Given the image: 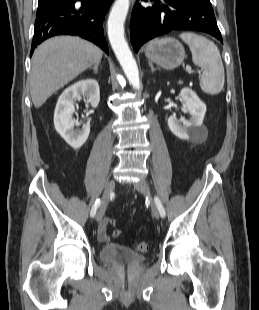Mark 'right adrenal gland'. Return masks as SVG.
<instances>
[{
	"label": "right adrenal gland",
	"instance_id": "obj_1",
	"mask_svg": "<svg viewBox=\"0 0 259 310\" xmlns=\"http://www.w3.org/2000/svg\"><path fill=\"white\" fill-rule=\"evenodd\" d=\"M100 65V62L96 63L91 69L93 70L94 73H98V67Z\"/></svg>",
	"mask_w": 259,
	"mask_h": 310
}]
</instances>
